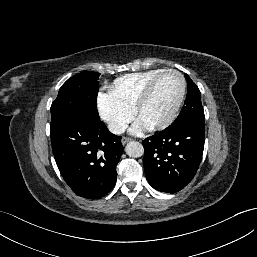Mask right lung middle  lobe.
Segmentation results:
<instances>
[{"label": "right lung middle lobe", "mask_w": 257, "mask_h": 257, "mask_svg": "<svg viewBox=\"0 0 257 257\" xmlns=\"http://www.w3.org/2000/svg\"><path fill=\"white\" fill-rule=\"evenodd\" d=\"M99 76V73L93 71L82 72L61 86L51 105L50 130L71 119L92 122L100 120L96 103Z\"/></svg>", "instance_id": "1"}]
</instances>
